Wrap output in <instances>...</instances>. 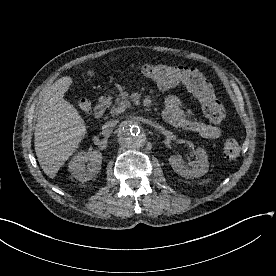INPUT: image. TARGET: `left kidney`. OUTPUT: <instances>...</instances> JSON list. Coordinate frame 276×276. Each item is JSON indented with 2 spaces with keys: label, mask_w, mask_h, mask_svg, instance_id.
Returning a JSON list of instances; mask_svg holds the SVG:
<instances>
[{
  "label": "left kidney",
  "mask_w": 276,
  "mask_h": 276,
  "mask_svg": "<svg viewBox=\"0 0 276 276\" xmlns=\"http://www.w3.org/2000/svg\"><path fill=\"white\" fill-rule=\"evenodd\" d=\"M196 155L199 160L193 161L190 167L186 166L184 161L173 155L169 158L172 169L184 178H198L208 172L209 162L206 151L203 148L196 149Z\"/></svg>",
  "instance_id": "1"
}]
</instances>
